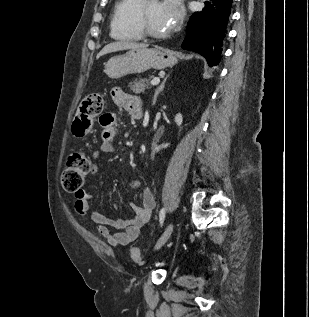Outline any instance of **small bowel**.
<instances>
[{
  "instance_id": "c3829d8e",
  "label": "small bowel",
  "mask_w": 309,
  "mask_h": 317,
  "mask_svg": "<svg viewBox=\"0 0 309 317\" xmlns=\"http://www.w3.org/2000/svg\"><path fill=\"white\" fill-rule=\"evenodd\" d=\"M111 96L114 103L118 107L125 109L132 118L139 119L142 117V103L138 97L124 92L121 88L112 89ZM117 120L118 116L116 113H106L100 117L102 142L100 147L93 153L94 160H97L101 154L114 151L116 147ZM96 170L97 166H94V171ZM132 186L135 188L139 187V182L133 181ZM93 200L94 195L86 190H80L75 193L74 209L80 217L85 218L87 216ZM154 207L155 199L152 191L148 188H143L141 190V204H130V208L134 212L133 217L114 219L98 211H93L90 217L97 224L98 233L110 246H126L138 238L142 227L149 221Z\"/></svg>"
}]
</instances>
